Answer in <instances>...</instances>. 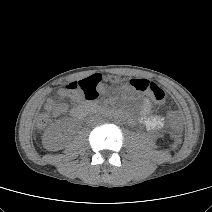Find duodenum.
Masks as SVG:
<instances>
[{
    "label": "duodenum",
    "mask_w": 212,
    "mask_h": 212,
    "mask_svg": "<svg viewBox=\"0 0 212 212\" xmlns=\"http://www.w3.org/2000/svg\"><path fill=\"white\" fill-rule=\"evenodd\" d=\"M96 107H97V105L92 102L78 104V105H76V107L73 110V116L75 119H81L89 111L93 110Z\"/></svg>",
    "instance_id": "obj_1"
}]
</instances>
